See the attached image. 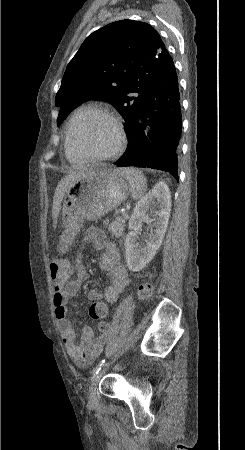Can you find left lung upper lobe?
Segmentation results:
<instances>
[{
	"mask_svg": "<svg viewBox=\"0 0 245 450\" xmlns=\"http://www.w3.org/2000/svg\"><path fill=\"white\" fill-rule=\"evenodd\" d=\"M169 59L160 35L147 23L121 20L93 32L66 68L55 99L60 106L57 124L77 104L95 98L118 110L128 136Z\"/></svg>",
	"mask_w": 245,
	"mask_h": 450,
	"instance_id": "obj_1",
	"label": "left lung upper lobe"
}]
</instances>
